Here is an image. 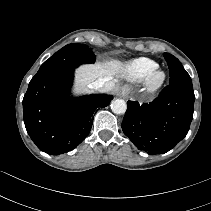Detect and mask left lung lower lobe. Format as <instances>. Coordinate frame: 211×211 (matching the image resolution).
I'll return each mask as SVG.
<instances>
[{"label": "left lung lower lobe", "mask_w": 211, "mask_h": 211, "mask_svg": "<svg viewBox=\"0 0 211 211\" xmlns=\"http://www.w3.org/2000/svg\"><path fill=\"white\" fill-rule=\"evenodd\" d=\"M194 100L192 85L169 84L147 105L128 101L123 132L140 150L166 153L187 135Z\"/></svg>", "instance_id": "left-lung-lower-lobe-1"}]
</instances>
